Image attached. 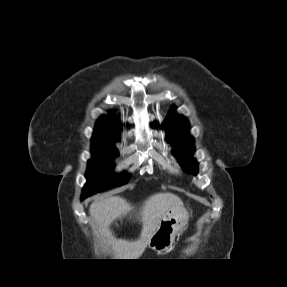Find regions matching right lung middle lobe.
Segmentation results:
<instances>
[{"instance_id": "1", "label": "right lung middle lobe", "mask_w": 287, "mask_h": 287, "mask_svg": "<svg viewBox=\"0 0 287 287\" xmlns=\"http://www.w3.org/2000/svg\"><path fill=\"white\" fill-rule=\"evenodd\" d=\"M91 152L93 156L88 161L85 175L87 183L81 196L88 197L97 192L121 186L130 179V176L112 173L114 169L112 159L118 154V150L113 143L92 142Z\"/></svg>"}]
</instances>
